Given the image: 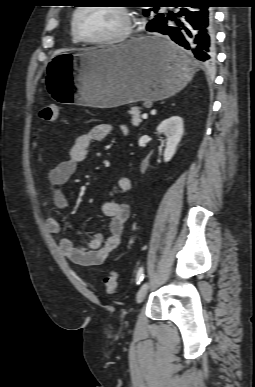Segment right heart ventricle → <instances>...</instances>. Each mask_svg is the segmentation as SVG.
Segmentation results:
<instances>
[{"label": "right heart ventricle", "mask_w": 255, "mask_h": 387, "mask_svg": "<svg viewBox=\"0 0 255 387\" xmlns=\"http://www.w3.org/2000/svg\"><path fill=\"white\" fill-rule=\"evenodd\" d=\"M71 39L74 43H78L79 41L76 39V37L71 33Z\"/></svg>", "instance_id": "e07e8e85"}]
</instances>
